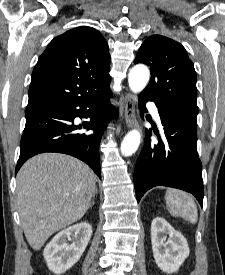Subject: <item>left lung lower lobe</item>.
<instances>
[{"instance_id":"left-lung-lower-lobe-1","label":"left lung lower lobe","mask_w":225,"mask_h":275,"mask_svg":"<svg viewBox=\"0 0 225 275\" xmlns=\"http://www.w3.org/2000/svg\"><path fill=\"white\" fill-rule=\"evenodd\" d=\"M141 114L145 103L153 101L140 94ZM156 104V103H155ZM164 129V137L158 143L150 139L146 129L143 149L134 171L137 202L144 193L155 186H167L192 193L203 205L202 164L197 153L196 119L156 104Z\"/></svg>"}]
</instances>
